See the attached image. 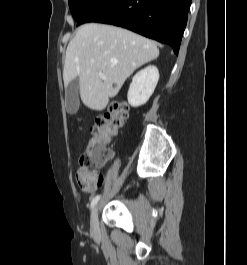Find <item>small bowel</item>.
Segmentation results:
<instances>
[{"label":"small bowel","instance_id":"small-bowel-1","mask_svg":"<svg viewBox=\"0 0 247 265\" xmlns=\"http://www.w3.org/2000/svg\"><path fill=\"white\" fill-rule=\"evenodd\" d=\"M76 182L84 192L92 193L102 185L103 177L102 175H90L80 167L76 172Z\"/></svg>","mask_w":247,"mask_h":265}]
</instances>
